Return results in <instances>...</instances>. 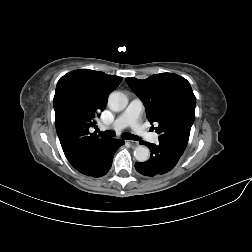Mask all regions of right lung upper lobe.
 <instances>
[{
	"mask_svg": "<svg viewBox=\"0 0 252 252\" xmlns=\"http://www.w3.org/2000/svg\"><path fill=\"white\" fill-rule=\"evenodd\" d=\"M122 77L89 69L67 73L57 83L53 99L56 131L68 161L75 163L87 150L101 144L105 137L89 133L95 117L106 106L108 95Z\"/></svg>",
	"mask_w": 252,
	"mask_h": 252,
	"instance_id": "right-lung-upper-lobe-1",
	"label": "right lung upper lobe"
}]
</instances>
